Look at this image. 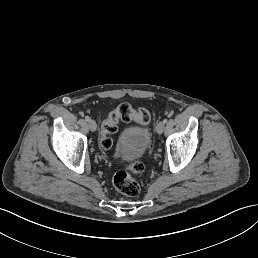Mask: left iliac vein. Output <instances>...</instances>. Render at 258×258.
Masks as SVG:
<instances>
[{
	"instance_id": "obj_1",
	"label": "left iliac vein",
	"mask_w": 258,
	"mask_h": 258,
	"mask_svg": "<svg viewBox=\"0 0 258 258\" xmlns=\"http://www.w3.org/2000/svg\"><path fill=\"white\" fill-rule=\"evenodd\" d=\"M165 128H166L165 122L164 121H159L158 124H157L156 131L159 134H162V132L165 131Z\"/></svg>"
}]
</instances>
